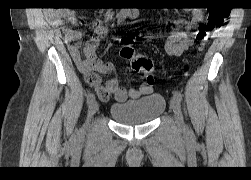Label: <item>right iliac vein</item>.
<instances>
[{"label": "right iliac vein", "mask_w": 251, "mask_h": 180, "mask_svg": "<svg viewBox=\"0 0 251 180\" xmlns=\"http://www.w3.org/2000/svg\"><path fill=\"white\" fill-rule=\"evenodd\" d=\"M99 110V104L97 103V101H93L90 105H89V109H88V121L94 116V114Z\"/></svg>", "instance_id": "63e3f726"}]
</instances>
